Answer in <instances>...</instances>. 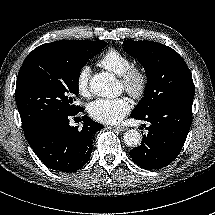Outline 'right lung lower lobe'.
Returning <instances> with one entry per match:
<instances>
[{"label":"right lung lower lobe","mask_w":215,"mask_h":215,"mask_svg":"<svg viewBox=\"0 0 215 215\" xmlns=\"http://www.w3.org/2000/svg\"><path fill=\"white\" fill-rule=\"evenodd\" d=\"M80 109L78 112H82ZM70 115H54L41 119L27 129L24 135L39 159L50 169L75 172L89 160L94 134L103 125L84 116L83 128L70 126Z\"/></svg>","instance_id":"obj_1"}]
</instances>
